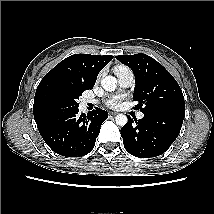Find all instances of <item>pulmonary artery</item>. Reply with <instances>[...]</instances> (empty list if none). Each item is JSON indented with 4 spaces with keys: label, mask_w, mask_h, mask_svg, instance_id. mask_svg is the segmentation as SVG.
<instances>
[{
    "label": "pulmonary artery",
    "mask_w": 214,
    "mask_h": 214,
    "mask_svg": "<svg viewBox=\"0 0 214 214\" xmlns=\"http://www.w3.org/2000/svg\"><path fill=\"white\" fill-rule=\"evenodd\" d=\"M114 73L117 77L118 83L121 87L126 88L129 87L134 80L133 72L128 67H121L114 69ZM91 102L90 100H86V103ZM144 117V113L139 112L137 115L138 119H142Z\"/></svg>",
    "instance_id": "pulmonary-artery-1"
}]
</instances>
